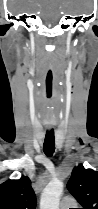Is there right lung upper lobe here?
<instances>
[{
  "label": "right lung upper lobe",
  "mask_w": 98,
  "mask_h": 209,
  "mask_svg": "<svg viewBox=\"0 0 98 209\" xmlns=\"http://www.w3.org/2000/svg\"><path fill=\"white\" fill-rule=\"evenodd\" d=\"M36 196L29 178L7 180L0 185V209H35Z\"/></svg>",
  "instance_id": "obj_1"
}]
</instances>
